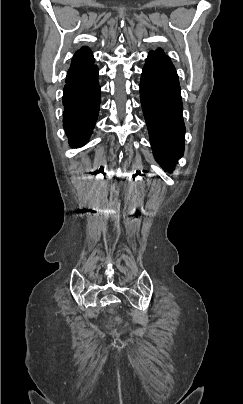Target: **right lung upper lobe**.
Here are the masks:
<instances>
[{
    "label": "right lung upper lobe",
    "mask_w": 243,
    "mask_h": 404,
    "mask_svg": "<svg viewBox=\"0 0 243 404\" xmlns=\"http://www.w3.org/2000/svg\"><path fill=\"white\" fill-rule=\"evenodd\" d=\"M93 63L94 58L90 49L82 47L80 51L75 53L67 76L83 72L91 68L94 65Z\"/></svg>",
    "instance_id": "1"
}]
</instances>
